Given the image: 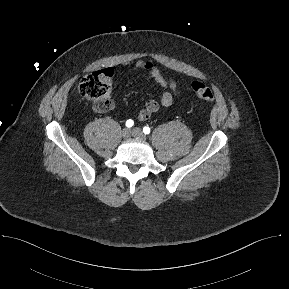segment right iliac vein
I'll return each mask as SVG.
<instances>
[{
	"mask_svg": "<svg viewBox=\"0 0 289 289\" xmlns=\"http://www.w3.org/2000/svg\"><path fill=\"white\" fill-rule=\"evenodd\" d=\"M122 136L125 139H128L131 136V130L129 128H124L122 130Z\"/></svg>",
	"mask_w": 289,
	"mask_h": 289,
	"instance_id": "obj_1",
	"label": "right iliac vein"
}]
</instances>
